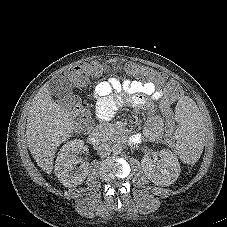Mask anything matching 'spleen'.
<instances>
[{
	"instance_id": "spleen-1",
	"label": "spleen",
	"mask_w": 227,
	"mask_h": 227,
	"mask_svg": "<svg viewBox=\"0 0 227 227\" xmlns=\"http://www.w3.org/2000/svg\"><path fill=\"white\" fill-rule=\"evenodd\" d=\"M175 112L180 120L177 153L180 158L193 163L196 161L202 140V116L195 102L189 98L178 100L175 105Z\"/></svg>"
}]
</instances>
